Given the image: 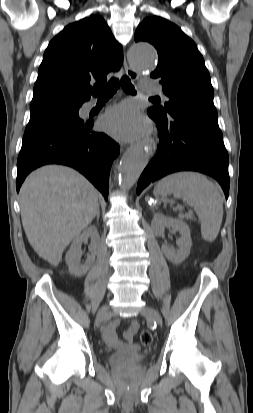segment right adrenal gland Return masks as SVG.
Here are the masks:
<instances>
[{"label":"right adrenal gland","instance_id":"1","mask_svg":"<svg viewBox=\"0 0 253 413\" xmlns=\"http://www.w3.org/2000/svg\"><path fill=\"white\" fill-rule=\"evenodd\" d=\"M95 217L97 218V220H99V218H100V209H99V207L97 209V213H96Z\"/></svg>","mask_w":253,"mask_h":413}]
</instances>
